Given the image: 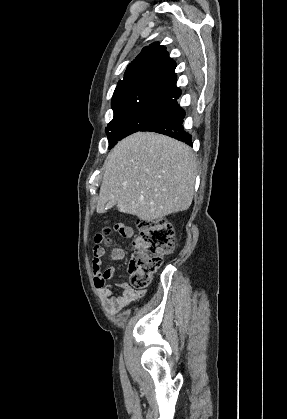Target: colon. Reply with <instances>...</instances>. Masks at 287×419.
Wrapping results in <instances>:
<instances>
[{
    "mask_svg": "<svg viewBox=\"0 0 287 419\" xmlns=\"http://www.w3.org/2000/svg\"><path fill=\"white\" fill-rule=\"evenodd\" d=\"M139 236L132 245L129 260L131 283L135 289L148 286L152 274L162 265L163 257L173 251L175 235L172 225L165 220H138ZM109 228L96 236V241L107 245L110 242Z\"/></svg>",
    "mask_w": 287,
    "mask_h": 419,
    "instance_id": "5ec220e1",
    "label": "colon"
}]
</instances>
